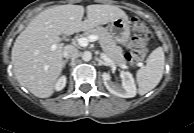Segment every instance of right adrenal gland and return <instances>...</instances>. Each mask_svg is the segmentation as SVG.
Segmentation results:
<instances>
[{
    "label": "right adrenal gland",
    "instance_id": "1",
    "mask_svg": "<svg viewBox=\"0 0 194 133\" xmlns=\"http://www.w3.org/2000/svg\"><path fill=\"white\" fill-rule=\"evenodd\" d=\"M67 62H68V60L63 61V68H65V65H66Z\"/></svg>",
    "mask_w": 194,
    "mask_h": 133
}]
</instances>
